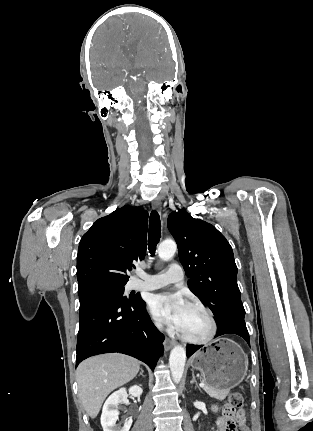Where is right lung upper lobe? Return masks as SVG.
I'll return each instance as SVG.
<instances>
[{"label":"right lung upper lobe","instance_id":"cb5924a9","mask_svg":"<svg viewBox=\"0 0 313 431\" xmlns=\"http://www.w3.org/2000/svg\"><path fill=\"white\" fill-rule=\"evenodd\" d=\"M148 212L123 206L98 219L83 235L77 255L79 295L126 284L146 252Z\"/></svg>","mask_w":313,"mask_h":431}]
</instances>
